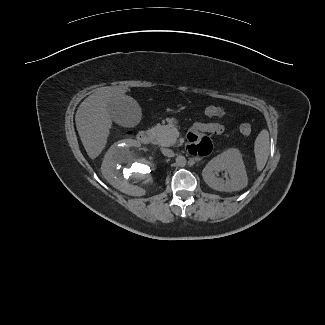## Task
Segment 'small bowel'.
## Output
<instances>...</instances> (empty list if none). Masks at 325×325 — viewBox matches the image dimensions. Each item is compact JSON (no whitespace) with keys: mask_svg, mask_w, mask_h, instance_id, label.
I'll use <instances>...</instances> for the list:
<instances>
[{"mask_svg":"<svg viewBox=\"0 0 325 325\" xmlns=\"http://www.w3.org/2000/svg\"><path fill=\"white\" fill-rule=\"evenodd\" d=\"M223 126L219 121L196 122L189 137L188 152L193 156H206L212 150V141L199 133L221 134Z\"/></svg>","mask_w":325,"mask_h":325,"instance_id":"small-bowel-1","label":"small bowel"}]
</instances>
